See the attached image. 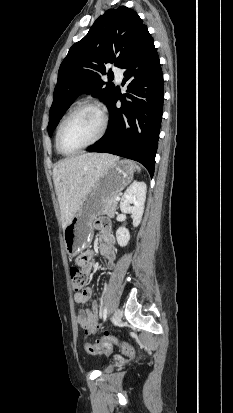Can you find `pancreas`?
<instances>
[{
	"mask_svg": "<svg viewBox=\"0 0 233 413\" xmlns=\"http://www.w3.org/2000/svg\"><path fill=\"white\" fill-rule=\"evenodd\" d=\"M116 196H110L103 202V212L107 214L110 217L114 216L116 207H117V201L115 200Z\"/></svg>",
	"mask_w": 233,
	"mask_h": 413,
	"instance_id": "obj_1",
	"label": "pancreas"
}]
</instances>
